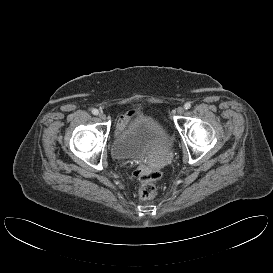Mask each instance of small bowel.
Segmentation results:
<instances>
[{"label":"small bowel","mask_w":273,"mask_h":273,"mask_svg":"<svg viewBox=\"0 0 273 273\" xmlns=\"http://www.w3.org/2000/svg\"><path fill=\"white\" fill-rule=\"evenodd\" d=\"M134 114H135V113L131 112V113L127 114V115L121 116V117L119 118L118 124H117L118 130L123 129V128L126 126L128 120H129V118H130L131 116H134Z\"/></svg>","instance_id":"c3829d8e"}]
</instances>
